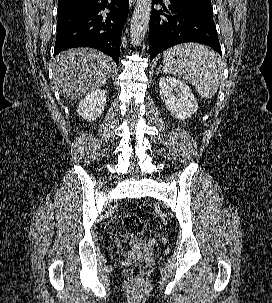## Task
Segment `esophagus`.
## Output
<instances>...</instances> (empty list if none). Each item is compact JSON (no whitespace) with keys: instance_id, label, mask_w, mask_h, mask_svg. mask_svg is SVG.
Wrapping results in <instances>:
<instances>
[{"instance_id":"1","label":"esophagus","mask_w":272,"mask_h":303,"mask_svg":"<svg viewBox=\"0 0 272 303\" xmlns=\"http://www.w3.org/2000/svg\"><path fill=\"white\" fill-rule=\"evenodd\" d=\"M135 0H129V7L130 9L134 6Z\"/></svg>"}]
</instances>
